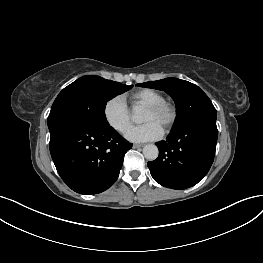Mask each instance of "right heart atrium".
Listing matches in <instances>:
<instances>
[{
    "label": "right heart atrium",
    "instance_id": "1",
    "mask_svg": "<svg viewBox=\"0 0 263 263\" xmlns=\"http://www.w3.org/2000/svg\"><path fill=\"white\" fill-rule=\"evenodd\" d=\"M103 115L107 124L118 133H124L131 123L130 110L122 95H115L105 102Z\"/></svg>",
    "mask_w": 263,
    "mask_h": 263
}]
</instances>
